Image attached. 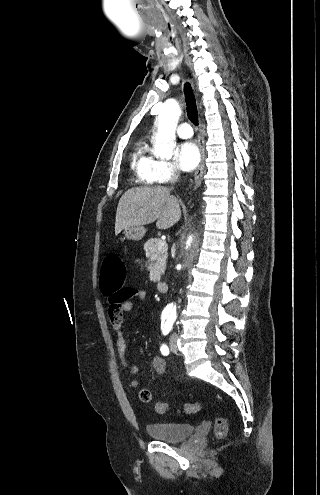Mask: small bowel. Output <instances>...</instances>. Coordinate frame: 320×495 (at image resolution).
Masks as SVG:
<instances>
[{"instance_id":"small-bowel-1","label":"small bowel","mask_w":320,"mask_h":495,"mask_svg":"<svg viewBox=\"0 0 320 495\" xmlns=\"http://www.w3.org/2000/svg\"><path fill=\"white\" fill-rule=\"evenodd\" d=\"M121 291L126 293L127 297L121 303L117 300V293L107 295L109 321L117 334L116 345L121 364L130 375H136L139 372V368L135 365H129L128 363V359L126 357L127 342L122 328L124 314L133 310L136 305L142 303L146 299L147 292L142 288L136 287H122ZM140 353L145 355L143 348H141ZM150 366L156 371V373L162 374L166 370V361L160 356H155L150 361ZM130 386L132 388H137L139 386V382L137 380H132L130 382Z\"/></svg>"}]
</instances>
